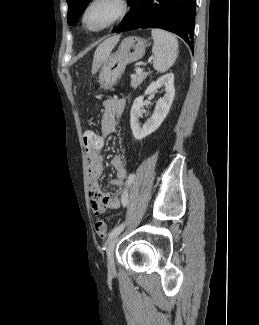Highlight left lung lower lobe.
<instances>
[{
  "mask_svg": "<svg viewBox=\"0 0 259 325\" xmlns=\"http://www.w3.org/2000/svg\"><path fill=\"white\" fill-rule=\"evenodd\" d=\"M130 11L112 32L161 28L182 37L193 48L196 0H129Z\"/></svg>",
  "mask_w": 259,
  "mask_h": 325,
  "instance_id": "1",
  "label": "left lung lower lobe"
}]
</instances>
